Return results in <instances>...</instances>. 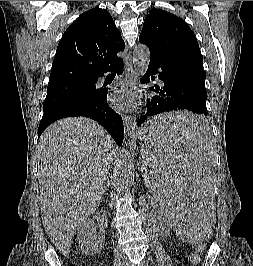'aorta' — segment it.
Wrapping results in <instances>:
<instances>
[{
  "label": "aorta",
  "mask_w": 253,
  "mask_h": 266,
  "mask_svg": "<svg viewBox=\"0 0 253 266\" xmlns=\"http://www.w3.org/2000/svg\"><path fill=\"white\" fill-rule=\"evenodd\" d=\"M133 57L135 61L134 70L138 78H142L149 66L150 51L144 44L135 46ZM134 156L131 150L124 148L117 164L119 185L123 192H128L134 184Z\"/></svg>",
  "instance_id": "obj_1"
}]
</instances>
